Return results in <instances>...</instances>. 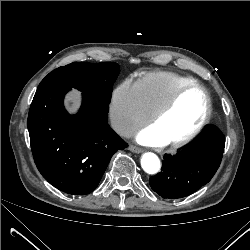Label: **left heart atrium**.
Returning a JSON list of instances; mask_svg holds the SVG:
<instances>
[{"label": "left heart atrium", "instance_id": "1", "mask_svg": "<svg viewBox=\"0 0 250 250\" xmlns=\"http://www.w3.org/2000/svg\"><path fill=\"white\" fill-rule=\"evenodd\" d=\"M136 138L140 143L148 146H160L168 143L152 128V126L140 131Z\"/></svg>", "mask_w": 250, "mask_h": 250}]
</instances>
